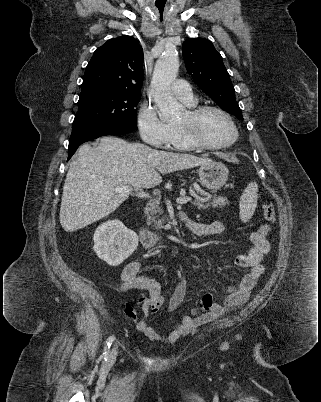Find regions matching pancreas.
Wrapping results in <instances>:
<instances>
[{
  "mask_svg": "<svg viewBox=\"0 0 321 402\" xmlns=\"http://www.w3.org/2000/svg\"><path fill=\"white\" fill-rule=\"evenodd\" d=\"M194 206L198 209H207L208 207L217 208L222 207L229 204L227 198L225 197H217L214 198L212 202H209L208 199H202L200 197H196L192 202ZM145 216L147 218V224L151 225L154 223V228L160 229L163 227L164 218L159 219L160 215L163 214V210L160 206L159 200H151L147 203L145 207Z\"/></svg>",
  "mask_w": 321,
  "mask_h": 402,
  "instance_id": "pancreas-1",
  "label": "pancreas"
}]
</instances>
